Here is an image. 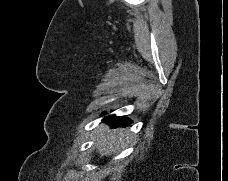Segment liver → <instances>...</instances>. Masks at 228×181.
I'll use <instances>...</instances> for the list:
<instances>
[{"label": "liver", "instance_id": "1", "mask_svg": "<svg viewBox=\"0 0 228 181\" xmlns=\"http://www.w3.org/2000/svg\"><path fill=\"white\" fill-rule=\"evenodd\" d=\"M126 129H113L110 131L108 125H101L99 133H97V145L100 157H108L116 153V149L124 143L123 137H127Z\"/></svg>", "mask_w": 228, "mask_h": 181}]
</instances>
